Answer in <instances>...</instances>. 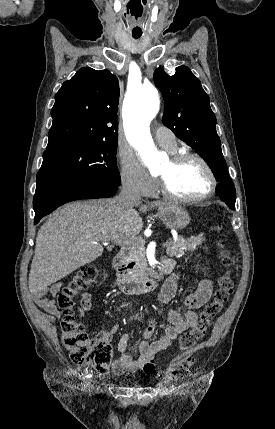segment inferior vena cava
<instances>
[{
    "label": "inferior vena cava",
    "mask_w": 275,
    "mask_h": 429,
    "mask_svg": "<svg viewBox=\"0 0 275 429\" xmlns=\"http://www.w3.org/2000/svg\"><path fill=\"white\" fill-rule=\"evenodd\" d=\"M121 205L128 207L141 200L140 190L135 181L126 179L122 183V189L117 197Z\"/></svg>",
    "instance_id": "1"
}]
</instances>
